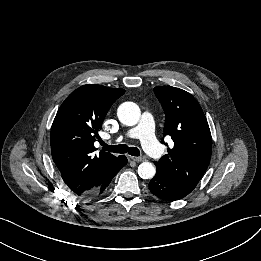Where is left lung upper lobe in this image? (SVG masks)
I'll list each match as a JSON object with an SVG mask.
<instances>
[{
    "label": "left lung upper lobe",
    "instance_id": "1",
    "mask_svg": "<svg viewBox=\"0 0 261 261\" xmlns=\"http://www.w3.org/2000/svg\"><path fill=\"white\" fill-rule=\"evenodd\" d=\"M154 92L166 116L163 136H170L174 142V147L168 148L169 155L154 164L175 188L189 194L211 158L212 139L207 119L190 93L171 86H157Z\"/></svg>",
    "mask_w": 261,
    "mask_h": 261
}]
</instances>
